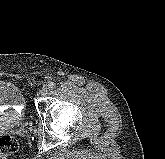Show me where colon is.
I'll use <instances>...</instances> for the list:
<instances>
[{
  "label": "colon",
  "instance_id": "obj_1",
  "mask_svg": "<svg viewBox=\"0 0 165 159\" xmlns=\"http://www.w3.org/2000/svg\"><path fill=\"white\" fill-rule=\"evenodd\" d=\"M19 148L18 142L10 137L3 136L0 137V158H6L10 155H13Z\"/></svg>",
  "mask_w": 165,
  "mask_h": 159
}]
</instances>
